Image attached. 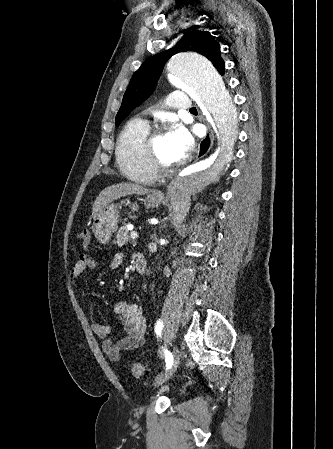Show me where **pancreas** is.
Segmentation results:
<instances>
[{
	"label": "pancreas",
	"instance_id": "pancreas-1",
	"mask_svg": "<svg viewBox=\"0 0 333 449\" xmlns=\"http://www.w3.org/2000/svg\"><path fill=\"white\" fill-rule=\"evenodd\" d=\"M129 240H130V233L127 228V225L125 224L118 230L116 240L114 241V243L117 244L118 246H122Z\"/></svg>",
	"mask_w": 333,
	"mask_h": 449
}]
</instances>
